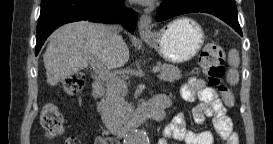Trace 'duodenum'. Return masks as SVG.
Listing matches in <instances>:
<instances>
[{
	"label": "duodenum",
	"instance_id": "410a0bca",
	"mask_svg": "<svg viewBox=\"0 0 273 144\" xmlns=\"http://www.w3.org/2000/svg\"><path fill=\"white\" fill-rule=\"evenodd\" d=\"M105 92L101 82L96 81L91 88V97L95 101H100ZM170 106L169 99L164 95H157L148 103L136 107L134 113L123 123L114 126L112 132L122 138L135 126L146 120L161 121L166 117V109Z\"/></svg>",
	"mask_w": 273,
	"mask_h": 144
}]
</instances>
